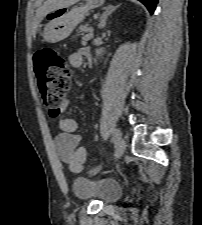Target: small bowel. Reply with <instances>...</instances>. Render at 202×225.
<instances>
[{
  "label": "small bowel",
  "mask_w": 202,
  "mask_h": 225,
  "mask_svg": "<svg viewBox=\"0 0 202 225\" xmlns=\"http://www.w3.org/2000/svg\"><path fill=\"white\" fill-rule=\"evenodd\" d=\"M90 52L88 47H83L68 57V62L72 67L79 68L82 66L87 53ZM91 53V52H90ZM68 101H64L61 105L60 114L63 116L67 111ZM59 128L61 134L56 137L55 150L60 161L68 164L71 169L75 164L76 173L83 170L86 160V150L82 145L83 138L78 134V123L73 118H61L59 120Z\"/></svg>",
  "instance_id": "c3829d8e"
}]
</instances>
